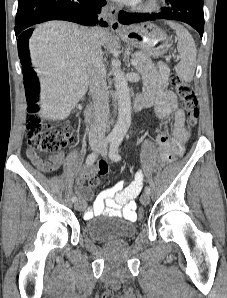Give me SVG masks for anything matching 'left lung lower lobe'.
Instances as JSON below:
<instances>
[{"mask_svg": "<svg viewBox=\"0 0 227 298\" xmlns=\"http://www.w3.org/2000/svg\"><path fill=\"white\" fill-rule=\"evenodd\" d=\"M166 2L167 7H163L159 13L130 14L120 11L118 20L125 25L158 19L178 20L191 25L202 38L204 31L203 0H166Z\"/></svg>", "mask_w": 227, "mask_h": 298, "instance_id": "obj_1", "label": "left lung lower lobe"}]
</instances>
